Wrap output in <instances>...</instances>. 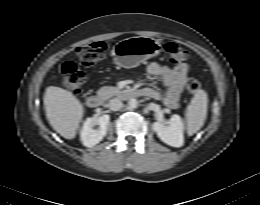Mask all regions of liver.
Returning a JSON list of instances; mask_svg holds the SVG:
<instances>
[{"label": "liver", "mask_w": 260, "mask_h": 205, "mask_svg": "<svg viewBox=\"0 0 260 205\" xmlns=\"http://www.w3.org/2000/svg\"><path fill=\"white\" fill-rule=\"evenodd\" d=\"M43 102L52 128L62 137L73 139L84 115L81 102L70 91L55 86L46 88Z\"/></svg>", "instance_id": "obj_1"}]
</instances>
